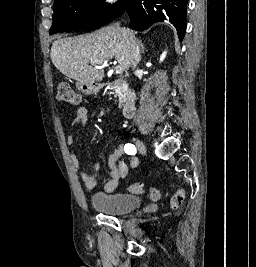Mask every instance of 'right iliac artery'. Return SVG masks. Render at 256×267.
<instances>
[{
    "label": "right iliac artery",
    "instance_id": "right-iliac-artery-1",
    "mask_svg": "<svg viewBox=\"0 0 256 267\" xmlns=\"http://www.w3.org/2000/svg\"><path fill=\"white\" fill-rule=\"evenodd\" d=\"M124 150H125V153H127L128 155H135L136 154V148L133 144H126L124 146Z\"/></svg>",
    "mask_w": 256,
    "mask_h": 267
}]
</instances>
